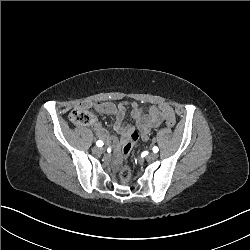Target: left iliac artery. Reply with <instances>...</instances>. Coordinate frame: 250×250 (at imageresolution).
I'll use <instances>...</instances> for the list:
<instances>
[{"mask_svg":"<svg viewBox=\"0 0 250 250\" xmlns=\"http://www.w3.org/2000/svg\"><path fill=\"white\" fill-rule=\"evenodd\" d=\"M158 151H159L158 147L154 146V147H153V152H154V153H157Z\"/></svg>","mask_w":250,"mask_h":250,"instance_id":"left-iliac-artery-1","label":"left iliac artery"}]
</instances>
